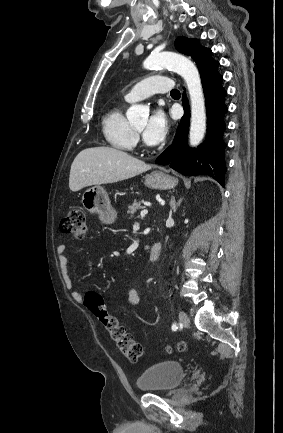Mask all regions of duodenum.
<instances>
[{
	"instance_id": "410a0bca",
	"label": "duodenum",
	"mask_w": 283,
	"mask_h": 433,
	"mask_svg": "<svg viewBox=\"0 0 283 433\" xmlns=\"http://www.w3.org/2000/svg\"><path fill=\"white\" fill-rule=\"evenodd\" d=\"M162 253V245L160 242H155L152 247H151V251H150V261L151 262H157L161 256Z\"/></svg>"
}]
</instances>
